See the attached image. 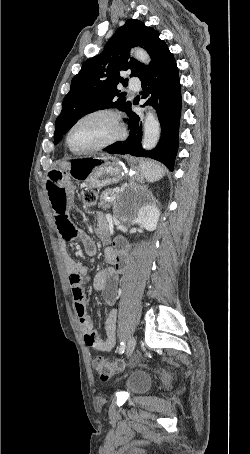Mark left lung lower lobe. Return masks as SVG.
Listing matches in <instances>:
<instances>
[{
	"label": "left lung lower lobe",
	"instance_id": "1",
	"mask_svg": "<svg viewBox=\"0 0 250 454\" xmlns=\"http://www.w3.org/2000/svg\"><path fill=\"white\" fill-rule=\"evenodd\" d=\"M143 98H150L147 104L152 105L158 114L162 135L157 146L144 150L141 146L142 125L139 116L131 107L126 112L130 119V135L124 142H116L105 151L110 154H131L149 157L162 162L173 171L174 160L178 149V130L181 115V88L178 68L173 55L169 52L155 68L140 79Z\"/></svg>",
	"mask_w": 250,
	"mask_h": 454
}]
</instances>
